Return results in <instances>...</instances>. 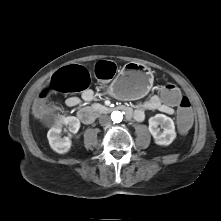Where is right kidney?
Segmentation results:
<instances>
[{
    "label": "right kidney",
    "mask_w": 221,
    "mask_h": 221,
    "mask_svg": "<svg viewBox=\"0 0 221 221\" xmlns=\"http://www.w3.org/2000/svg\"><path fill=\"white\" fill-rule=\"evenodd\" d=\"M64 126H67L71 133H77L80 128V121L74 116H60L53 122L51 129L47 133L50 147L59 154L67 153L71 148L69 137H61Z\"/></svg>",
    "instance_id": "obj_1"
}]
</instances>
